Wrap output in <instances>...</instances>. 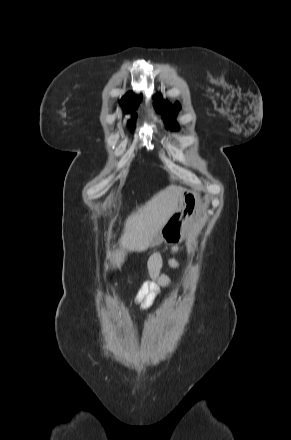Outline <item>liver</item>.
I'll list each match as a JSON object with an SVG mask.
<instances>
[{
	"instance_id": "1",
	"label": "liver",
	"mask_w": 291,
	"mask_h": 440,
	"mask_svg": "<svg viewBox=\"0 0 291 440\" xmlns=\"http://www.w3.org/2000/svg\"><path fill=\"white\" fill-rule=\"evenodd\" d=\"M182 191L180 188L168 187L155 194L127 218L119 241L120 248L114 252H107V258L113 266L120 268L127 251H143L150 245L169 216L176 211ZM110 237L111 227L108 240Z\"/></svg>"
}]
</instances>
